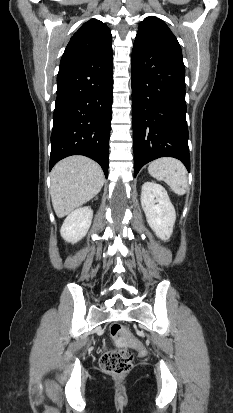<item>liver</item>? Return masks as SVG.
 <instances>
[{"mask_svg": "<svg viewBox=\"0 0 233 413\" xmlns=\"http://www.w3.org/2000/svg\"><path fill=\"white\" fill-rule=\"evenodd\" d=\"M105 178L99 164L85 156H70L51 172L50 195L56 215L62 218L97 195Z\"/></svg>", "mask_w": 233, "mask_h": 413, "instance_id": "6515ba94", "label": "liver"}]
</instances>
